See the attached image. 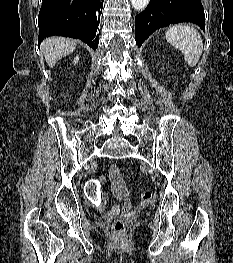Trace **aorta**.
I'll return each instance as SVG.
<instances>
[{
    "instance_id": "1",
    "label": "aorta",
    "mask_w": 233,
    "mask_h": 263,
    "mask_svg": "<svg viewBox=\"0 0 233 263\" xmlns=\"http://www.w3.org/2000/svg\"><path fill=\"white\" fill-rule=\"evenodd\" d=\"M148 3L149 0H131L132 7L137 11L145 9Z\"/></svg>"
}]
</instances>
